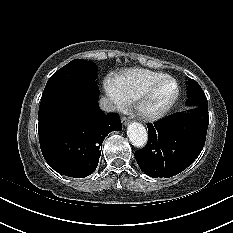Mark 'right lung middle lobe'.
<instances>
[{
    "instance_id": "dd1d6c3e",
    "label": "right lung middle lobe",
    "mask_w": 233,
    "mask_h": 233,
    "mask_svg": "<svg viewBox=\"0 0 233 233\" xmlns=\"http://www.w3.org/2000/svg\"><path fill=\"white\" fill-rule=\"evenodd\" d=\"M96 71L94 63L75 59L55 72L43 91L38 121L56 115H73L75 101L81 90L98 94Z\"/></svg>"
}]
</instances>
